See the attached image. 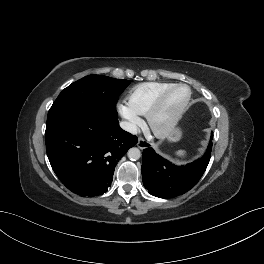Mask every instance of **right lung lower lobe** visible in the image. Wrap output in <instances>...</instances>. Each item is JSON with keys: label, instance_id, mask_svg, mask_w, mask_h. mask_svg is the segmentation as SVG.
<instances>
[{"label": "right lung lower lobe", "instance_id": "obj_1", "mask_svg": "<svg viewBox=\"0 0 264 264\" xmlns=\"http://www.w3.org/2000/svg\"><path fill=\"white\" fill-rule=\"evenodd\" d=\"M115 108L81 104L46 125V151L55 174L72 192H107L117 162L138 139L118 124Z\"/></svg>", "mask_w": 264, "mask_h": 264}]
</instances>
